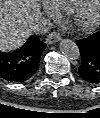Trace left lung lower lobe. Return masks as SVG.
Listing matches in <instances>:
<instances>
[{
  "label": "left lung lower lobe",
  "instance_id": "left-lung-lower-lobe-1",
  "mask_svg": "<svg viewBox=\"0 0 100 118\" xmlns=\"http://www.w3.org/2000/svg\"><path fill=\"white\" fill-rule=\"evenodd\" d=\"M82 63L78 74L87 83L100 84V32L76 41Z\"/></svg>",
  "mask_w": 100,
  "mask_h": 118
}]
</instances>
